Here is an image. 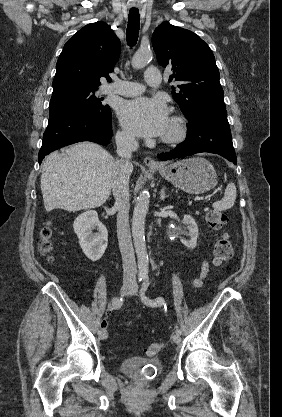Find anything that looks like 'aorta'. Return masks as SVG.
I'll list each match as a JSON object with an SVG mask.
<instances>
[{
  "label": "aorta",
  "mask_w": 282,
  "mask_h": 417,
  "mask_svg": "<svg viewBox=\"0 0 282 417\" xmlns=\"http://www.w3.org/2000/svg\"><path fill=\"white\" fill-rule=\"evenodd\" d=\"M152 56L153 52L150 48H138L134 56H132L131 64L133 68H144ZM149 202V190L144 188L136 198L132 217V237L137 255L139 279H149V257L145 241V221L149 209Z\"/></svg>",
  "instance_id": "762f6f07"
}]
</instances>
